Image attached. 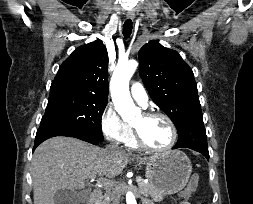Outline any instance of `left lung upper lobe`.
Masks as SVG:
<instances>
[{
    "mask_svg": "<svg viewBox=\"0 0 253 204\" xmlns=\"http://www.w3.org/2000/svg\"><path fill=\"white\" fill-rule=\"evenodd\" d=\"M138 56L140 76L146 89L178 132L191 118L202 115L192 69L178 52L152 40L140 49Z\"/></svg>",
    "mask_w": 253,
    "mask_h": 204,
    "instance_id": "5c2ea615",
    "label": "left lung upper lobe"
}]
</instances>
